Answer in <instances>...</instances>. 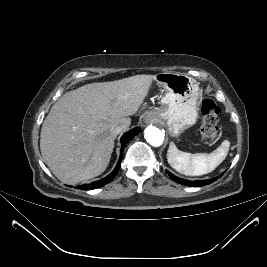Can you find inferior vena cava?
Listing matches in <instances>:
<instances>
[{
  "label": "inferior vena cava",
  "instance_id": "inferior-vena-cava-1",
  "mask_svg": "<svg viewBox=\"0 0 267 267\" xmlns=\"http://www.w3.org/2000/svg\"><path fill=\"white\" fill-rule=\"evenodd\" d=\"M129 127V123H121V124H116L112 127V133L114 135H118L119 133L127 130Z\"/></svg>",
  "mask_w": 267,
  "mask_h": 267
}]
</instances>
